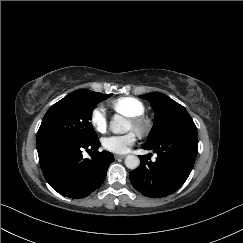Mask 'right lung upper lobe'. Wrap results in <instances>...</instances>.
Returning a JSON list of instances; mask_svg holds the SVG:
<instances>
[{"label": "right lung upper lobe", "instance_id": "cb5924a9", "mask_svg": "<svg viewBox=\"0 0 243 243\" xmlns=\"http://www.w3.org/2000/svg\"><path fill=\"white\" fill-rule=\"evenodd\" d=\"M82 90H84V89H80V90H76V91H82Z\"/></svg>", "mask_w": 243, "mask_h": 243}]
</instances>
